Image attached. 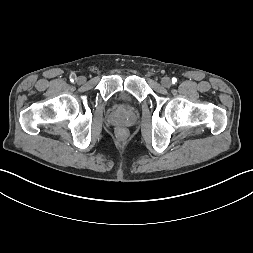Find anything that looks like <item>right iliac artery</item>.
I'll return each instance as SVG.
<instances>
[{
	"label": "right iliac artery",
	"mask_w": 253,
	"mask_h": 253,
	"mask_svg": "<svg viewBox=\"0 0 253 253\" xmlns=\"http://www.w3.org/2000/svg\"><path fill=\"white\" fill-rule=\"evenodd\" d=\"M75 80H76V74L72 73V74L70 75V81H71V82H74Z\"/></svg>",
	"instance_id": "82829eb1"
}]
</instances>
